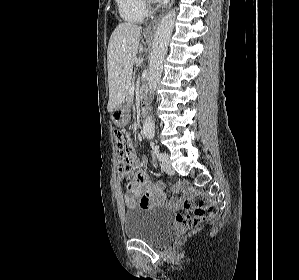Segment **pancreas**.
<instances>
[{
    "instance_id": "1",
    "label": "pancreas",
    "mask_w": 299,
    "mask_h": 280,
    "mask_svg": "<svg viewBox=\"0 0 299 280\" xmlns=\"http://www.w3.org/2000/svg\"><path fill=\"white\" fill-rule=\"evenodd\" d=\"M131 86H133L132 82L129 83L128 88H130ZM131 99H132V97L127 93V100L130 102Z\"/></svg>"
}]
</instances>
